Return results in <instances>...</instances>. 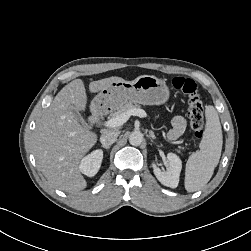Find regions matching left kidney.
Wrapping results in <instances>:
<instances>
[{
	"label": "left kidney",
	"instance_id": "obj_1",
	"mask_svg": "<svg viewBox=\"0 0 251 251\" xmlns=\"http://www.w3.org/2000/svg\"><path fill=\"white\" fill-rule=\"evenodd\" d=\"M167 159L169 162V168L167 172H163L159 167L152 163L153 172L161 184L167 187L176 188L179 183L182 161L174 153H168Z\"/></svg>",
	"mask_w": 251,
	"mask_h": 251
}]
</instances>
